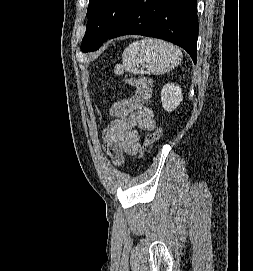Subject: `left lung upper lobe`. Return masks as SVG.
<instances>
[{
  "instance_id": "left-lung-upper-lobe-1",
  "label": "left lung upper lobe",
  "mask_w": 253,
  "mask_h": 271,
  "mask_svg": "<svg viewBox=\"0 0 253 271\" xmlns=\"http://www.w3.org/2000/svg\"><path fill=\"white\" fill-rule=\"evenodd\" d=\"M131 5L132 0H90L81 50L91 52L99 49L128 13Z\"/></svg>"
}]
</instances>
